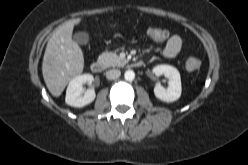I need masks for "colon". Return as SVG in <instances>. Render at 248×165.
Returning a JSON list of instances; mask_svg holds the SVG:
<instances>
[{"instance_id":"obj_1","label":"colon","mask_w":248,"mask_h":165,"mask_svg":"<svg viewBox=\"0 0 248 165\" xmlns=\"http://www.w3.org/2000/svg\"><path fill=\"white\" fill-rule=\"evenodd\" d=\"M147 34L150 38L156 41H162L169 37V32L158 28H149ZM201 65V61L196 57H189L186 60V68L188 70H197Z\"/></svg>"}]
</instances>
